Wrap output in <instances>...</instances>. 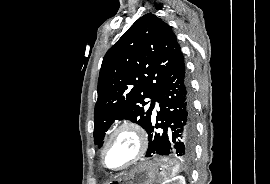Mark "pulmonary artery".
Returning <instances> with one entry per match:
<instances>
[{
  "instance_id": "pulmonary-artery-1",
  "label": "pulmonary artery",
  "mask_w": 270,
  "mask_h": 184,
  "mask_svg": "<svg viewBox=\"0 0 270 184\" xmlns=\"http://www.w3.org/2000/svg\"><path fill=\"white\" fill-rule=\"evenodd\" d=\"M156 107H158V103L156 102Z\"/></svg>"
}]
</instances>
